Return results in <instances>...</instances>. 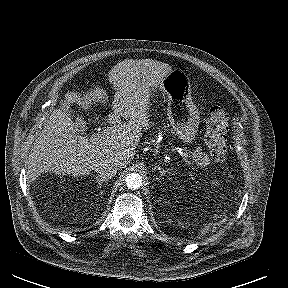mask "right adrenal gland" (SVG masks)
I'll use <instances>...</instances> for the list:
<instances>
[{
  "instance_id": "2a0ac1e0",
  "label": "right adrenal gland",
  "mask_w": 288,
  "mask_h": 288,
  "mask_svg": "<svg viewBox=\"0 0 288 288\" xmlns=\"http://www.w3.org/2000/svg\"><path fill=\"white\" fill-rule=\"evenodd\" d=\"M92 177L96 179V182L98 183V188H101L102 184L108 181L107 179H102L94 175H92Z\"/></svg>"
}]
</instances>
